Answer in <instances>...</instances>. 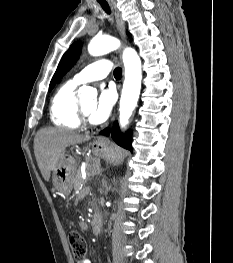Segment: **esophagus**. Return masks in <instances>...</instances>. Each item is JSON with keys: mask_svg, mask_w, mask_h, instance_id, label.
Here are the masks:
<instances>
[{"mask_svg": "<svg viewBox=\"0 0 233 263\" xmlns=\"http://www.w3.org/2000/svg\"><path fill=\"white\" fill-rule=\"evenodd\" d=\"M112 9L115 14L116 22H117V27L119 30V33L121 35L122 40H125V23L123 21L122 15L120 10L118 9L116 2L114 0H110ZM96 143L100 145L101 147L105 146L108 143V140L105 137H100L97 139Z\"/></svg>", "mask_w": 233, "mask_h": 263, "instance_id": "esophagus-1", "label": "esophagus"}]
</instances>
